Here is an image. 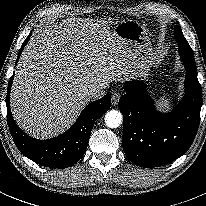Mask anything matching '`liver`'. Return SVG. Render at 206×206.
<instances>
[{
    "label": "liver",
    "mask_w": 206,
    "mask_h": 206,
    "mask_svg": "<svg viewBox=\"0 0 206 206\" xmlns=\"http://www.w3.org/2000/svg\"><path fill=\"white\" fill-rule=\"evenodd\" d=\"M106 21L66 18L31 37L17 64L11 109L36 138L68 129L91 101L88 91L141 75L128 44Z\"/></svg>",
    "instance_id": "obj_1"
}]
</instances>
